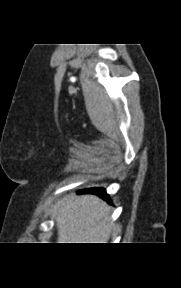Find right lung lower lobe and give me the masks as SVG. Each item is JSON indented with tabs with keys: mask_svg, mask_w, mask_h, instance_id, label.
<instances>
[{
	"mask_svg": "<svg viewBox=\"0 0 181 288\" xmlns=\"http://www.w3.org/2000/svg\"><path fill=\"white\" fill-rule=\"evenodd\" d=\"M81 193L96 194V195L100 196L102 199L107 200L108 202H111L110 197L106 193V190L102 189V188L86 189V190L82 191Z\"/></svg>",
	"mask_w": 181,
	"mask_h": 288,
	"instance_id": "obj_1",
	"label": "right lung lower lobe"
}]
</instances>
